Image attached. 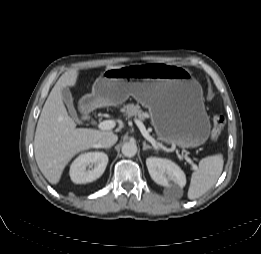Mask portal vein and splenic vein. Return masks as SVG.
Returning <instances> with one entry per match:
<instances>
[{
  "label": "portal vein and splenic vein",
  "instance_id": "portal-vein-and-splenic-vein-1",
  "mask_svg": "<svg viewBox=\"0 0 261 254\" xmlns=\"http://www.w3.org/2000/svg\"><path fill=\"white\" fill-rule=\"evenodd\" d=\"M136 125L140 129L143 136L152 144L156 145V141L148 134V132L145 129V126L140 120H135ZM115 121L114 120H104L98 124V128L101 130H111L115 127ZM185 160L192 165L193 169H197V165L189 158L187 155H184Z\"/></svg>",
  "mask_w": 261,
  "mask_h": 254
}]
</instances>
